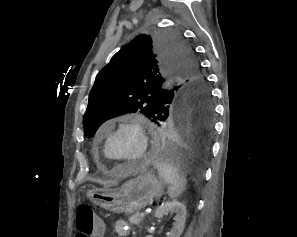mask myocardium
Here are the masks:
<instances>
[{
	"label": "myocardium",
	"instance_id": "myocardium-1",
	"mask_svg": "<svg viewBox=\"0 0 297 237\" xmlns=\"http://www.w3.org/2000/svg\"><path fill=\"white\" fill-rule=\"evenodd\" d=\"M124 129H129L133 131L139 142V150L136 154L133 156L127 157V158H118L113 156L108 151V145L110 140L119 132H121ZM149 149V136L146 131L145 122L138 118H132L125 120L123 122L118 123L114 129L107 135L104 143V154L105 156L117 163H128V162H134L139 161L145 157Z\"/></svg>",
	"mask_w": 297,
	"mask_h": 237
}]
</instances>
